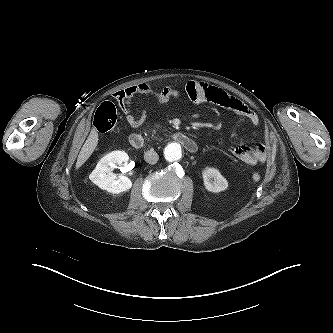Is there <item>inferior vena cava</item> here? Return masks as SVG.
Wrapping results in <instances>:
<instances>
[{"mask_svg": "<svg viewBox=\"0 0 333 333\" xmlns=\"http://www.w3.org/2000/svg\"><path fill=\"white\" fill-rule=\"evenodd\" d=\"M144 160L149 164H155L159 160V156L153 149H150L145 152Z\"/></svg>", "mask_w": 333, "mask_h": 333, "instance_id": "inferior-vena-cava-1", "label": "inferior vena cava"}]
</instances>
